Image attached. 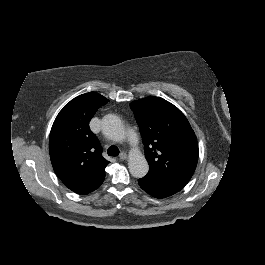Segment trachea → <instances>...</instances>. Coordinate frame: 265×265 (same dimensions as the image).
I'll use <instances>...</instances> for the list:
<instances>
[{
    "label": "trachea",
    "mask_w": 265,
    "mask_h": 265,
    "mask_svg": "<svg viewBox=\"0 0 265 265\" xmlns=\"http://www.w3.org/2000/svg\"><path fill=\"white\" fill-rule=\"evenodd\" d=\"M109 156H118L119 149L116 146H110L107 150Z\"/></svg>",
    "instance_id": "1"
}]
</instances>
